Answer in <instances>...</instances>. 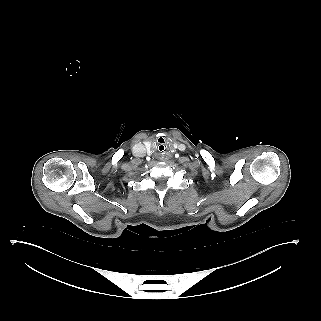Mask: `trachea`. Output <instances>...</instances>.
<instances>
[{
	"mask_svg": "<svg viewBox=\"0 0 321 321\" xmlns=\"http://www.w3.org/2000/svg\"><path fill=\"white\" fill-rule=\"evenodd\" d=\"M153 154H154V156L157 157V158H162V157H164L165 154H166V148H165V146L162 145V144H157V145H155L154 148H153Z\"/></svg>",
	"mask_w": 321,
	"mask_h": 321,
	"instance_id": "trachea-1",
	"label": "trachea"
}]
</instances>
